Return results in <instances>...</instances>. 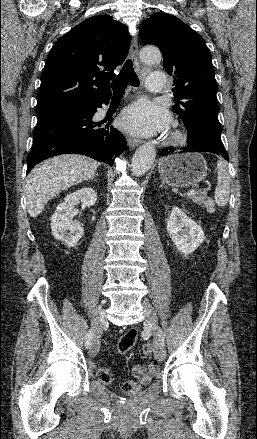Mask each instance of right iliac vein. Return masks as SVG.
Segmentation results:
<instances>
[{"instance_id": "obj_1", "label": "right iliac vein", "mask_w": 257, "mask_h": 439, "mask_svg": "<svg viewBox=\"0 0 257 439\" xmlns=\"http://www.w3.org/2000/svg\"><path fill=\"white\" fill-rule=\"evenodd\" d=\"M105 321V311L101 308L97 309L92 317V325L94 327V335L91 342L90 355L97 354L100 346L101 325Z\"/></svg>"}]
</instances>
